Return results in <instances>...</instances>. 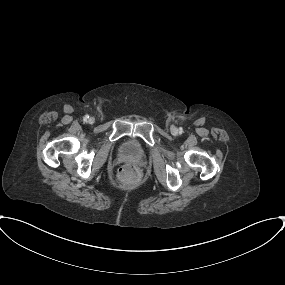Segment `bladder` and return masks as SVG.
<instances>
[{"mask_svg": "<svg viewBox=\"0 0 285 285\" xmlns=\"http://www.w3.org/2000/svg\"><path fill=\"white\" fill-rule=\"evenodd\" d=\"M120 153L123 156L129 157V158H137V157H140L142 154L137 141L133 138H128L122 143L120 147Z\"/></svg>", "mask_w": 285, "mask_h": 285, "instance_id": "bladder-1", "label": "bladder"}]
</instances>
